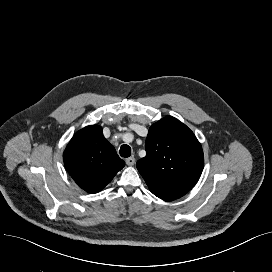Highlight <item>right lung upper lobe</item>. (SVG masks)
Returning a JSON list of instances; mask_svg holds the SVG:
<instances>
[{"label":"right lung upper lobe","instance_id":"obj_1","mask_svg":"<svg viewBox=\"0 0 272 272\" xmlns=\"http://www.w3.org/2000/svg\"><path fill=\"white\" fill-rule=\"evenodd\" d=\"M63 159L70 176L89 193L101 191L125 166L98 125L79 130L68 143Z\"/></svg>","mask_w":272,"mask_h":272}]
</instances>
